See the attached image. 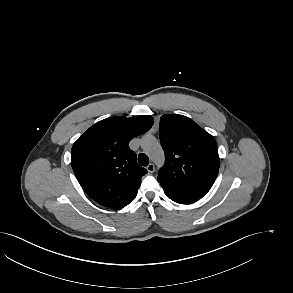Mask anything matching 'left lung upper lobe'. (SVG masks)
Returning <instances> with one entry per match:
<instances>
[{"instance_id": "obj_1", "label": "left lung upper lobe", "mask_w": 293, "mask_h": 293, "mask_svg": "<svg viewBox=\"0 0 293 293\" xmlns=\"http://www.w3.org/2000/svg\"><path fill=\"white\" fill-rule=\"evenodd\" d=\"M165 164L158 181L166 194L199 200L212 187L219 171L217 143L188 117L166 114L160 119Z\"/></svg>"}]
</instances>
